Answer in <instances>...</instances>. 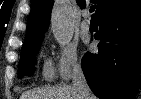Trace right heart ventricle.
Returning a JSON list of instances; mask_svg holds the SVG:
<instances>
[{
  "label": "right heart ventricle",
  "instance_id": "right-heart-ventricle-1",
  "mask_svg": "<svg viewBox=\"0 0 141 99\" xmlns=\"http://www.w3.org/2000/svg\"><path fill=\"white\" fill-rule=\"evenodd\" d=\"M43 76L47 80H51L53 77L52 65L49 61H46L43 66Z\"/></svg>",
  "mask_w": 141,
  "mask_h": 99
}]
</instances>
